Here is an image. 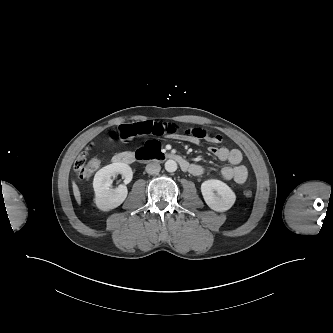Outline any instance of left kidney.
I'll list each match as a JSON object with an SVG mask.
<instances>
[{"mask_svg":"<svg viewBox=\"0 0 333 333\" xmlns=\"http://www.w3.org/2000/svg\"><path fill=\"white\" fill-rule=\"evenodd\" d=\"M201 192L206 204L217 212L229 210L236 200L232 189L217 179L206 180L201 185Z\"/></svg>","mask_w":333,"mask_h":333,"instance_id":"5707ae66","label":"left kidney"}]
</instances>
